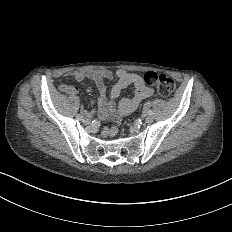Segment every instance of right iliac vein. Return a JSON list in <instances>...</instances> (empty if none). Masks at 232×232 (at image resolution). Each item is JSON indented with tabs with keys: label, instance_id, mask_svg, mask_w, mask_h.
Instances as JSON below:
<instances>
[{
	"label": "right iliac vein",
	"instance_id": "1",
	"mask_svg": "<svg viewBox=\"0 0 232 232\" xmlns=\"http://www.w3.org/2000/svg\"><path fill=\"white\" fill-rule=\"evenodd\" d=\"M89 123H91V120H88V119H83V120H82V125H83V126H88Z\"/></svg>",
	"mask_w": 232,
	"mask_h": 232
}]
</instances>
